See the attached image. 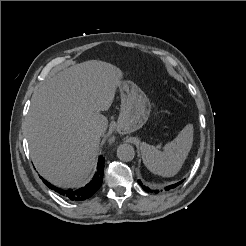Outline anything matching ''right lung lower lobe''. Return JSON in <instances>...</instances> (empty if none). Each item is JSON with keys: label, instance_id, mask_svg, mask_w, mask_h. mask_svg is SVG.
<instances>
[{"label": "right lung lower lobe", "instance_id": "1", "mask_svg": "<svg viewBox=\"0 0 246 246\" xmlns=\"http://www.w3.org/2000/svg\"><path fill=\"white\" fill-rule=\"evenodd\" d=\"M104 161L105 159L100 156L98 160L97 165V172L95 173L93 179L84 187H81L79 189H61L58 187H55L54 185L47 182L45 179L42 180L43 182L52 190L57 192L59 195L64 197L67 200L71 201H83L88 198H90L101 186L102 180H103V171H104Z\"/></svg>", "mask_w": 246, "mask_h": 246}]
</instances>
